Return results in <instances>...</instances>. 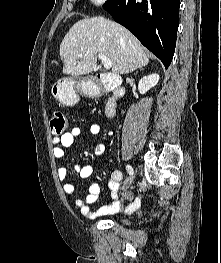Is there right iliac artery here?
I'll list each match as a JSON object with an SVG mask.
<instances>
[{
	"mask_svg": "<svg viewBox=\"0 0 221 263\" xmlns=\"http://www.w3.org/2000/svg\"><path fill=\"white\" fill-rule=\"evenodd\" d=\"M126 170L130 175H133V168L130 165H126Z\"/></svg>",
	"mask_w": 221,
	"mask_h": 263,
	"instance_id": "right-iliac-artery-1",
	"label": "right iliac artery"
}]
</instances>
